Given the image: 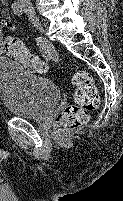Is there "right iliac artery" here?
Wrapping results in <instances>:
<instances>
[{
    "label": "right iliac artery",
    "mask_w": 123,
    "mask_h": 201,
    "mask_svg": "<svg viewBox=\"0 0 123 201\" xmlns=\"http://www.w3.org/2000/svg\"><path fill=\"white\" fill-rule=\"evenodd\" d=\"M12 9H13V12L14 14L16 15H22L23 14V5L20 3V2H14L12 4ZM38 45L40 46L42 52L45 54V55H48V50L46 49V47L41 43V41H38Z\"/></svg>",
    "instance_id": "right-iliac-artery-1"
}]
</instances>
